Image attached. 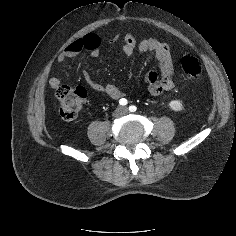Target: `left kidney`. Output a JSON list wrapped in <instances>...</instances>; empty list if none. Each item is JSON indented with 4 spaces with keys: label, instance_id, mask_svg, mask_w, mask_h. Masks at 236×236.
<instances>
[{
    "label": "left kidney",
    "instance_id": "left-kidney-1",
    "mask_svg": "<svg viewBox=\"0 0 236 236\" xmlns=\"http://www.w3.org/2000/svg\"><path fill=\"white\" fill-rule=\"evenodd\" d=\"M168 106L175 112L181 111L183 109V103L180 100H171Z\"/></svg>",
    "mask_w": 236,
    "mask_h": 236
}]
</instances>
